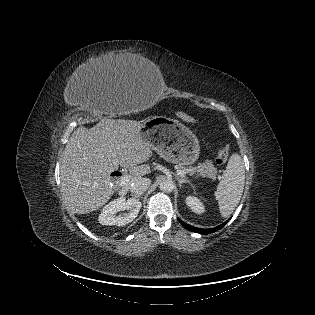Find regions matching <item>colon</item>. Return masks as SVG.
I'll return each mask as SVG.
<instances>
[{
  "instance_id": "5ec220e1",
  "label": "colon",
  "mask_w": 315,
  "mask_h": 315,
  "mask_svg": "<svg viewBox=\"0 0 315 315\" xmlns=\"http://www.w3.org/2000/svg\"><path fill=\"white\" fill-rule=\"evenodd\" d=\"M178 117L181 120L188 122V123H194L195 122V119L191 115H189L185 112H179ZM229 154H230L229 146L228 145L221 146L218 149L217 154H216V158H215L216 163L219 165L226 163L228 158H229Z\"/></svg>"
}]
</instances>
